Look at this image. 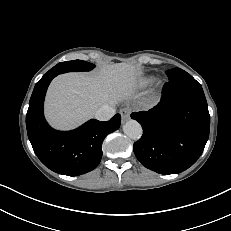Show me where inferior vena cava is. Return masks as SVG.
<instances>
[{
  "mask_svg": "<svg viewBox=\"0 0 231 231\" xmlns=\"http://www.w3.org/2000/svg\"><path fill=\"white\" fill-rule=\"evenodd\" d=\"M115 112L113 106L105 104L95 112V118L100 121H107L115 115Z\"/></svg>",
  "mask_w": 231,
  "mask_h": 231,
  "instance_id": "1",
  "label": "inferior vena cava"
}]
</instances>
